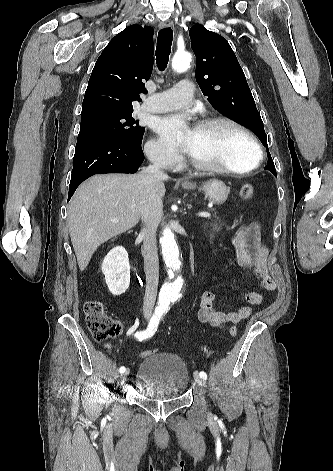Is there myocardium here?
I'll use <instances>...</instances> for the list:
<instances>
[{
    "label": "myocardium",
    "mask_w": 333,
    "mask_h": 471,
    "mask_svg": "<svg viewBox=\"0 0 333 471\" xmlns=\"http://www.w3.org/2000/svg\"><path fill=\"white\" fill-rule=\"evenodd\" d=\"M217 124H228L237 130H239L241 133H243L251 142L252 146L254 147L256 157L254 162L247 168L244 169H234L228 166L224 165H219V164H213L209 163L206 161H203L201 159H198L191 154L189 155V161L190 163L197 169L202 170V171H208V172H216V173H227V174H235V175H244L248 174L255 169H257L262 161L263 157V152L262 148L257 140V138L254 136V134L243 124L240 122L226 117V116H216V117H211V118H206L199 122L197 128L200 129H205Z\"/></svg>",
    "instance_id": "f54148a6"
}]
</instances>
